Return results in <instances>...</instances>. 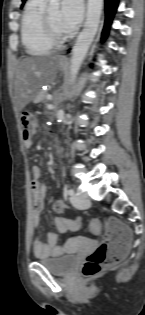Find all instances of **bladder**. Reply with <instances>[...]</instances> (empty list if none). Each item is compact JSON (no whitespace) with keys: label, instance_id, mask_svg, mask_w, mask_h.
Masks as SVG:
<instances>
[{"label":"bladder","instance_id":"31cf9c89","mask_svg":"<svg viewBox=\"0 0 145 315\" xmlns=\"http://www.w3.org/2000/svg\"><path fill=\"white\" fill-rule=\"evenodd\" d=\"M92 249V248H77ZM39 263L43 264L50 272L56 275H66L78 263L77 256L62 255L56 258H38Z\"/></svg>","mask_w":145,"mask_h":315}]
</instances>
